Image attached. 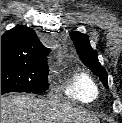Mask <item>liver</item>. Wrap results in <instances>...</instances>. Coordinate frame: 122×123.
<instances>
[{"mask_svg":"<svg viewBox=\"0 0 122 123\" xmlns=\"http://www.w3.org/2000/svg\"><path fill=\"white\" fill-rule=\"evenodd\" d=\"M1 123H100L91 113L32 95L1 97Z\"/></svg>","mask_w":122,"mask_h":123,"instance_id":"liver-1","label":"liver"}]
</instances>
